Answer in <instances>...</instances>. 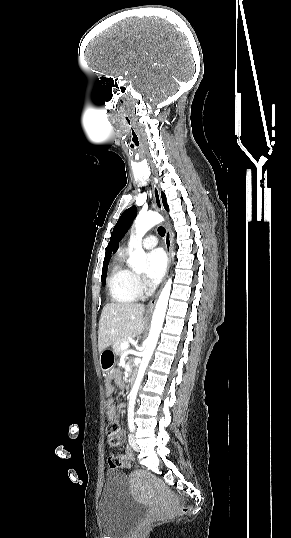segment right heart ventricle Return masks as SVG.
I'll return each instance as SVG.
<instances>
[{
	"label": "right heart ventricle",
	"instance_id": "1",
	"mask_svg": "<svg viewBox=\"0 0 291 538\" xmlns=\"http://www.w3.org/2000/svg\"><path fill=\"white\" fill-rule=\"evenodd\" d=\"M122 251L113 260L108 277V291L115 303H131L139 297V287L134 272L125 262Z\"/></svg>",
	"mask_w": 291,
	"mask_h": 538
}]
</instances>
